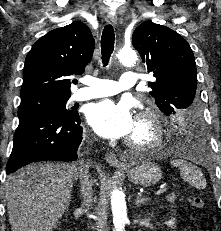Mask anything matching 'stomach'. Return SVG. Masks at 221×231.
I'll list each match as a JSON object with an SVG mask.
<instances>
[{
    "instance_id": "0dacf381",
    "label": "stomach",
    "mask_w": 221,
    "mask_h": 231,
    "mask_svg": "<svg viewBox=\"0 0 221 231\" xmlns=\"http://www.w3.org/2000/svg\"><path fill=\"white\" fill-rule=\"evenodd\" d=\"M126 174L130 182L145 187L157 184L162 176L161 169L150 161L136 164Z\"/></svg>"
}]
</instances>
